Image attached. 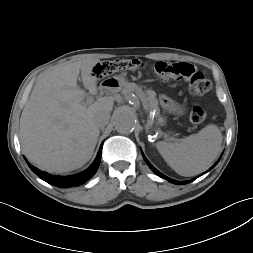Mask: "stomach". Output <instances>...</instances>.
I'll list each match as a JSON object with an SVG mask.
<instances>
[{
  "mask_svg": "<svg viewBox=\"0 0 253 253\" xmlns=\"http://www.w3.org/2000/svg\"><path fill=\"white\" fill-rule=\"evenodd\" d=\"M113 82H104L103 87L107 90L113 91V90H119L122 87H124L127 83L126 79L124 76H115L112 78ZM111 84V85H110ZM160 123H164V119L160 118L159 119Z\"/></svg>",
  "mask_w": 253,
  "mask_h": 253,
  "instance_id": "obj_1",
  "label": "stomach"
}]
</instances>
